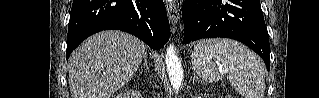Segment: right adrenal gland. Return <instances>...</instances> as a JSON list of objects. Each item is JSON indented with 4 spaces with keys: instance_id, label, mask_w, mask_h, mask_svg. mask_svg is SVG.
<instances>
[{
    "instance_id": "obj_1",
    "label": "right adrenal gland",
    "mask_w": 319,
    "mask_h": 98,
    "mask_svg": "<svg viewBox=\"0 0 319 98\" xmlns=\"http://www.w3.org/2000/svg\"><path fill=\"white\" fill-rule=\"evenodd\" d=\"M143 59H144V63L142 64L141 69H142L143 67L149 68V66H148V60H147V55H146V54L144 55Z\"/></svg>"
}]
</instances>
